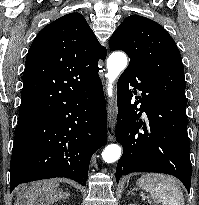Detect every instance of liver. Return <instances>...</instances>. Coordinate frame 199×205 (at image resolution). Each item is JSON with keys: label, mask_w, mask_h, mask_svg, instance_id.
Segmentation results:
<instances>
[{"label": "liver", "mask_w": 199, "mask_h": 205, "mask_svg": "<svg viewBox=\"0 0 199 205\" xmlns=\"http://www.w3.org/2000/svg\"><path fill=\"white\" fill-rule=\"evenodd\" d=\"M59 183L56 180L36 182L26 191L21 190L18 195V205H43L41 198H47L48 203L65 198L66 194L58 190ZM40 198V199H39Z\"/></svg>", "instance_id": "1"}]
</instances>
